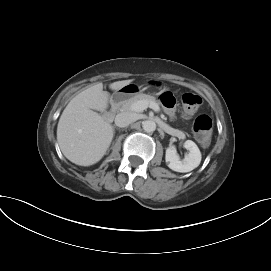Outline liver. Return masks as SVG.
Returning a JSON list of instances; mask_svg holds the SVG:
<instances>
[{
    "label": "liver",
    "mask_w": 271,
    "mask_h": 271,
    "mask_svg": "<svg viewBox=\"0 0 271 271\" xmlns=\"http://www.w3.org/2000/svg\"><path fill=\"white\" fill-rule=\"evenodd\" d=\"M133 80L116 81L109 85L117 91ZM110 94L97 83L76 95L66 106L57 126V142L63 155L72 163L90 166L106 154L113 136L112 125L97 111H105Z\"/></svg>",
    "instance_id": "liver-1"
}]
</instances>
